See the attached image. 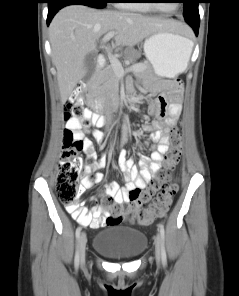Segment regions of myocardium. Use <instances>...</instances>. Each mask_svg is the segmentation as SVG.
Wrapping results in <instances>:
<instances>
[{
    "mask_svg": "<svg viewBox=\"0 0 239 296\" xmlns=\"http://www.w3.org/2000/svg\"><path fill=\"white\" fill-rule=\"evenodd\" d=\"M148 1V6L151 8V9H154L160 13H168V11H165L163 9H161L155 0H147Z\"/></svg>",
    "mask_w": 239,
    "mask_h": 296,
    "instance_id": "1",
    "label": "myocardium"
}]
</instances>
